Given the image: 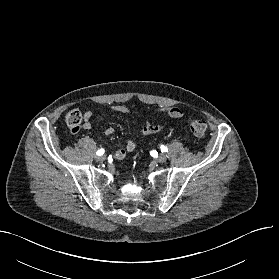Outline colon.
Returning <instances> with one entry per match:
<instances>
[{"label":"colon","instance_id":"5ec220e1","mask_svg":"<svg viewBox=\"0 0 279 279\" xmlns=\"http://www.w3.org/2000/svg\"><path fill=\"white\" fill-rule=\"evenodd\" d=\"M65 122L72 133L79 131L82 123V114L79 110H71L65 115ZM190 131L196 137H203L207 130V125L203 120L191 119L188 122Z\"/></svg>","mask_w":279,"mask_h":279}]
</instances>
